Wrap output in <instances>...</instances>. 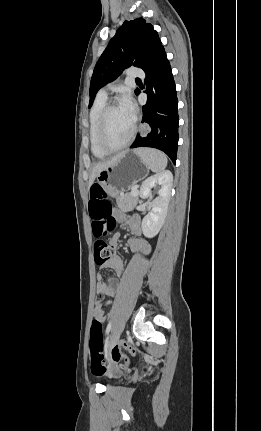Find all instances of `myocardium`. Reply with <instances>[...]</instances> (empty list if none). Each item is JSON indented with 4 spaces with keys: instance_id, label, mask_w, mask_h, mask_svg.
I'll return each mask as SVG.
<instances>
[{
    "instance_id": "myocardium-1",
    "label": "myocardium",
    "mask_w": 261,
    "mask_h": 431,
    "mask_svg": "<svg viewBox=\"0 0 261 431\" xmlns=\"http://www.w3.org/2000/svg\"><path fill=\"white\" fill-rule=\"evenodd\" d=\"M117 105H118V103L116 101H112V102L106 104V106L102 110L100 118H99L97 140H98V144H99L100 148L108 154L115 153V152L121 151L124 148H126L132 142V140L136 134V131H137V121H136V118L134 117L131 132H130L129 136L127 137V139L122 144L117 145V146H112L107 142V140H106L107 117H108V114L110 113V111Z\"/></svg>"
}]
</instances>
